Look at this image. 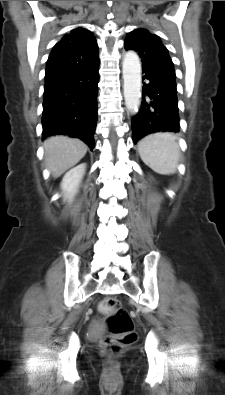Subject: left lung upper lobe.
<instances>
[{"label":"left lung upper lobe","instance_id":"obj_1","mask_svg":"<svg viewBox=\"0 0 225 395\" xmlns=\"http://www.w3.org/2000/svg\"><path fill=\"white\" fill-rule=\"evenodd\" d=\"M124 47L126 50L133 49L138 52L142 67H163L174 70L167 48L157 35L146 29L138 28L130 32L125 39Z\"/></svg>","mask_w":225,"mask_h":395}]
</instances>
